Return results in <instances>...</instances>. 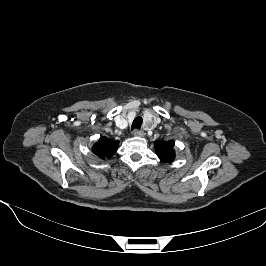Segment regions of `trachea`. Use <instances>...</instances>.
<instances>
[{"instance_id":"3493384b","label":"trachea","mask_w":266,"mask_h":266,"mask_svg":"<svg viewBox=\"0 0 266 266\" xmlns=\"http://www.w3.org/2000/svg\"><path fill=\"white\" fill-rule=\"evenodd\" d=\"M143 119L142 117L138 116L134 119L133 123H132V130L133 129H140L141 125H142Z\"/></svg>"}]
</instances>
